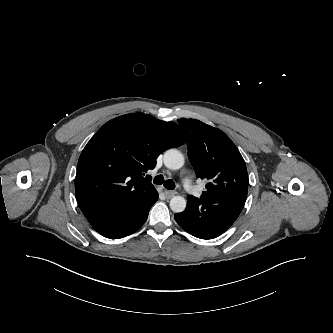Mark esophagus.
<instances>
[{"instance_id":"esophagus-1","label":"esophagus","mask_w":333,"mask_h":333,"mask_svg":"<svg viewBox=\"0 0 333 333\" xmlns=\"http://www.w3.org/2000/svg\"><path fill=\"white\" fill-rule=\"evenodd\" d=\"M165 194H166V197H167L168 199H170V198L174 197L177 193H176L175 191L166 190V191H165Z\"/></svg>"}]
</instances>
